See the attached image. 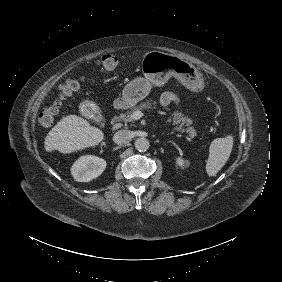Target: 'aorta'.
Returning <instances> with one entry per match:
<instances>
[{
  "label": "aorta",
  "mask_w": 282,
  "mask_h": 282,
  "mask_svg": "<svg viewBox=\"0 0 282 282\" xmlns=\"http://www.w3.org/2000/svg\"><path fill=\"white\" fill-rule=\"evenodd\" d=\"M134 145H135L136 150H138L139 152H145L150 147V143L148 139L146 138H138L135 141Z\"/></svg>",
  "instance_id": "obj_1"
}]
</instances>
